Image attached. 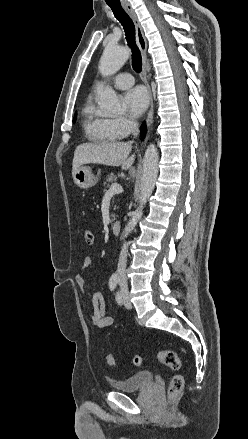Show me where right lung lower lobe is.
I'll use <instances>...</instances> for the list:
<instances>
[{"label":"right lung lower lobe","mask_w":248,"mask_h":439,"mask_svg":"<svg viewBox=\"0 0 248 439\" xmlns=\"http://www.w3.org/2000/svg\"><path fill=\"white\" fill-rule=\"evenodd\" d=\"M146 131H147L146 125H145V123H143V125L141 127V133H140L142 139L145 137Z\"/></svg>","instance_id":"1"}]
</instances>
